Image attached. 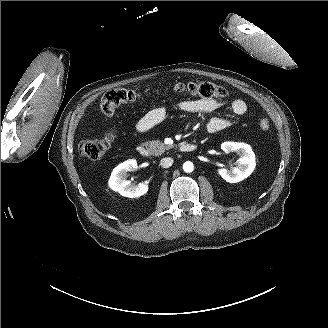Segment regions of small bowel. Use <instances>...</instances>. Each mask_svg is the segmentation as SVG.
<instances>
[{"label": "small bowel", "instance_id": "1", "mask_svg": "<svg viewBox=\"0 0 328 328\" xmlns=\"http://www.w3.org/2000/svg\"><path fill=\"white\" fill-rule=\"evenodd\" d=\"M223 102L212 99H196L187 100L178 103L175 110L203 114L211 112L221 105ZM231 110L237 115H243L247 110V105L242 99H234L230 102ZM168 115V109L165 107H158L150 110L142 118H140L135 125L138 132H146L153 128L155 125L163 121ZM231 126L228 119L215 117L208 121L206 127L209 133H217Z\"/></svg>", "mask_w": 328, "mask_h": 328}]
</instances>
